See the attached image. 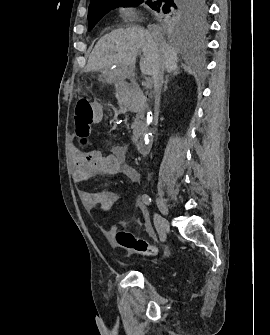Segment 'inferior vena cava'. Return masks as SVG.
<instances>
[{
    "label": "inferior vena cava",
    "mask_w": 270,
    "mask_h": 335,
    "mask_svg": "<svg viewBox=\"0 0 270 335\" xmlns=\"http://www.w3.org/2000/svg\"><path fill=\"white\" fill-rule=\"evenodd\" d=\"M147 28H148L153 40H156V42H158V40H161V38H163L160 28H158V26H155V24H149V26H147ZM152 78L154 80L155 106H156V108H158L160 98H161V96H160L161 88H162V84H163V70H159V72H156V74H153Z\"/></svg>",
    "instance_id": "obj_1"
}]
</instances>
